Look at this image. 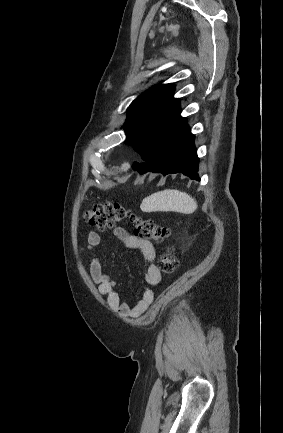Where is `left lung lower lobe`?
<instances>
[{
    "label": "left lung lower lobe",
    "instance_id": "1",
    "mask_svg": "<svg viewBox=\"0 0 283 433\" xmlns=\"http://www.w3.org/2000/svg\"><path fill=\"white\" fill-rule=\"evenodd\" d=\"M144 163L135 162L134 169L140 173L148 171L183 173L191 179L199 180V158L194 145V135L187 123L174 131L171 127L153 129L140 148Z\"/></svg>",
    "mask_w": 283,
    "mask_h": 433
}]
</instances>
